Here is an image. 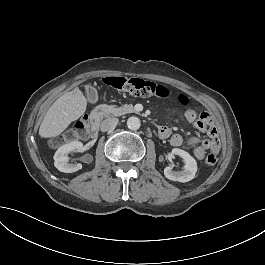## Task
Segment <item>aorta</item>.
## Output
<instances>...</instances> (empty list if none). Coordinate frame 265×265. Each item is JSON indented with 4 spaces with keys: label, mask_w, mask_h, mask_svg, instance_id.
Wrapping results in <instances>:
<instances>
[{
    "label": "aorta",
    "mask_w": 265,
    "mask_h": 265,
    "mask_svg": "<svg viewBox=\"0 0 265 265\" xmlns=\"http://www.w3.org/2000/svg\"><path fill=\"white\" fill-rule=\"evenodd\" d=\"M127 126L130 130L136 131L140 128L141 126V121L137 117H130L127 120Z\"/></svg>",
    "instance_id": "aorta-1"
}]
</instances>
